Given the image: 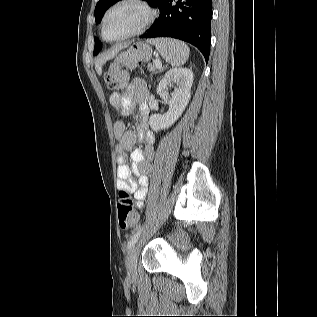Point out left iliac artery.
<instances>
[{
    "mask_svg": "<svg viewBox=\"0 0 317 317\" xmlns=\"http://www.w3.org/2000/svg\"><path fill=\"white\" fill-rule=\"evenodd\" d=\"M143 231V227L140 228L129 240L128 244H127V249H130L134 243H136V241L138 240L139 236L141 235Z\"/></svg>",
    "mask_w": 317,
    "mask_h": 317,
    "instance_id": "obj_1",
    "label": "left iliac artery"
}]
</instances>
